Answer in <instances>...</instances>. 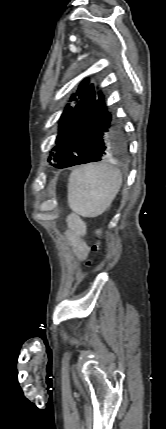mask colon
<instances>
[{
	"instance_id": "1",
	"label": "colon",
	"mask_w": 166,
	"mask_h": 429,
	"mask_svg": "<svg viewBox=\"0 0 166 429\" xmlns=\"http://www.w3.org/2000/svg\"><path fill=\"white\" fill-rule=\"evenodd\" d=\"M97 234L100 236V235L102 234V230H98V231H97ZM98 249H99V243H96V244L94 245V247H93V250H94V251H96V250H98ZM87 264H88V265H90V264H91V260H88Z\"/></svg>"
}]
</instances>
